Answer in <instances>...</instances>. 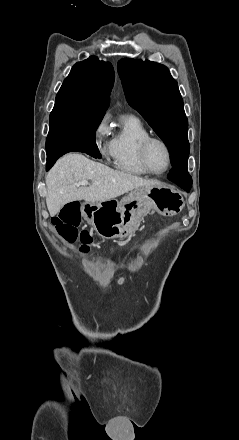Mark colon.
<instances>
[{"label":"colon","mask_w":239,"mask_h":440,"mask_svg":"<svg viewBox=\"0 0 239 440\" xmlns=\"http://www.w3.org/2000/svg\"><path fill=\"white\" fill-rule=\"evenodd\" d=\"M52 224L57 233L66 241L74 242L79 239L81 253L86 254L89 251L92 236L86 229L78 230L80 225V208L78 203L73 202L65 205L59 214L52 219Z\"/></svg>","instance_id":"5ec220e1"}]
</instances>
